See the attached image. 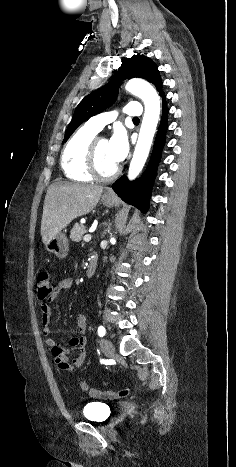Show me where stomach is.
<instances>
[{
	"mask_svg": "<svg viewBox=\"0 0 236 467\" xmlns=\"http://www.w3.org/2000/svg\"><path fill=\"white\" fill-rule=\"evenodd\" d=\"M101 202L103 205L111 207L114 204V198L105 194L102 196ZM45 250L59 258H65L69 251V243L65 234L61 232L56 234L49 242L45 244Z\"/></svg>",
	"mask_w": 236,
	"mask_h": 467,
	"instance_id": "0dacf381",
	"label": "stomach"
}]
</instances>
